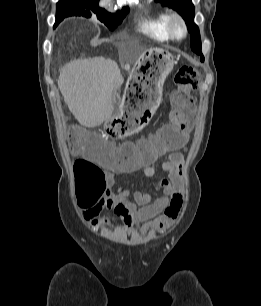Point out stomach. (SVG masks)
Returning a JSON list of instances; mask_svg holds the SVG:
<instances>
[{
	"label": "stomach",
	"instance_id": "stomach-1",
	"mask_svg": "<svg viewBox=\"0 0 261 306\" xmlns=\"http://www.w3.org/2000/svg\"><path fill=\"white\" fill-rule=\"evenodd\" d=\"M140 65L146 66L147 75L128 84L115 117L123 125L124 135L137 133L149 123L161 102L163 85L175 65V58L167 50L151 48L139 58Z\"/></svg>",
	"mask_w": 261,
	"mask_h": 306
}]
</instances>
